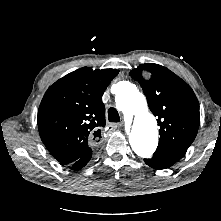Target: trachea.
Instances as JSON below:
<instances>
[{"mask_svg": "<svg viewBox=\"0 0 221 221\" xmlns=\"http://www.w3.org/2000/svg\"><path fill=\"white\" fill-rule=\"evenodd\" d=\"M108 120L109 122H119L120 121V116L116 108L111 107L108 110Z\"/></svg>", "mask_w": 221, "mask_h": 221, "instance_id": "obj_1", "label": "trachea"}]
</instances>
